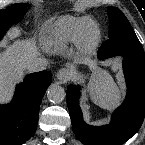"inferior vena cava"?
Listing matches in <instances>:
<instances>
[{
	"mask_svg": "<svg viewBox=\"0 0 145 145\" xmlns=\"http://www.w3.org/2000/svg\"><path fill=\"white\" fill-rule=\"evenodd\" d=\"M47 60L45 58H36L26 62L25 68L29 72H39L45 70L47 67Z\"/></svg>",
	"mask_w": 145,
	"mask_h": 145,
	"instance_id": "obj_1",
	"label": "inferior vena cava"
}]
</instances>
